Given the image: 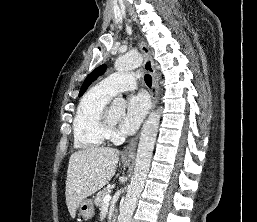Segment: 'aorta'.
<instances>
[{
	"mask_svg": "<svg viewBox=\"0 0 257 222\" xmlns=\"http://www.w3.org/2000/svg\"><path fill=\"white\" fill-rule=\"evenodd\" d=\"M141 64V54L136 51H130L116 59L115 68L118 71H129L138 68ZM125 105L126 102L122 97L115 98L112 103V107L118 110H124ZM159 122V113L152 112L142 127L135 160L134 174L131 183L128 186L125 200L120 206V214L117 222H130L149 172Z\"/></svg>",
	"mask_w": 257,
	"mask_h": 222,
	"instance_id": "762f6f07",
	"label": "aorta"
}]
</instances>
